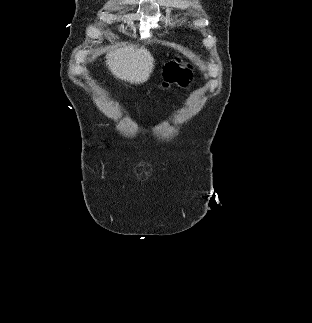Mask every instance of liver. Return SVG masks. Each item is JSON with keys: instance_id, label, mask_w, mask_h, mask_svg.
I'll list each match as a JSON object with an SVG mask.
<instances>
[{"instance_id": "6515ba94", "label": "liver", "mask_w": 312, "mask_h": 323, "mask_svg": "<svg viewBox=\"0 0 312 323\" xmlns=\"http://www.w3.org/2000/svg\"><path fill=\"white\" fill-rule=\"evenodd\" d=\"M106 66L119 80L130 84L147 82L154 70V58L146 48L136 50L134 46L118 48L106 56Z\"/></svg>"}]
</instances>
